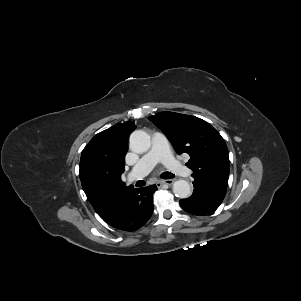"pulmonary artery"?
I'll return each instance as SVG.
<instances>
[{"mask_svg": "<svg viewBox=\"0 0 301 301\" xmlns=\"http://www.w3.org/2000/svg\"><path fill=\"white\" fill-rule=\"evenodd\" d=\"M158 162H162L178 175L189 176L191 174L190 169L183 166L173 157L164 134L155 132L152 136L151 149L133 167L128 174V180L135 181L145 177Z\"/></svg>", "mask_w": 301, "mask_h": 301, "instance_id": "e3ab8cb5", "label": "pulmonary artery"}]
</instances>
